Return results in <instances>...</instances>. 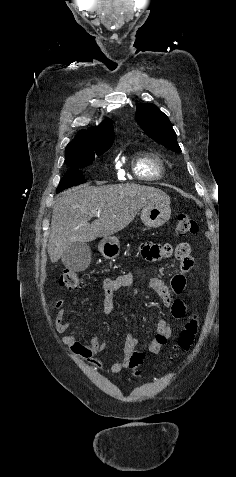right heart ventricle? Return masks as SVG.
<instances>
[{"label": "right heart ventricle", "instance_id": "1", "mask_svg": "<svg viewBox=\"0 0 236 477\" xmlns=\"http://www.w3.org/2000/svg\"><path fill=\"white\" fill-rule=\"evenodd\" d=\"M133 172L140 179L155 180L163 175L164 170L158 156L144 154L134 160Z\"/></svg>", "mask_w": 236, "mask_h": 477}]
</instances>
